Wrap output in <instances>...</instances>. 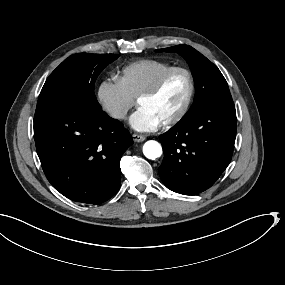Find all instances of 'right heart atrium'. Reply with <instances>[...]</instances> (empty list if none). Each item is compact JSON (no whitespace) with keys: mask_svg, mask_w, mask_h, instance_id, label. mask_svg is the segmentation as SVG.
<instances>
[{"mask_svg":"<svg viewBox=\"0 0 285 285\" xmlns=\"http://www.w3.org/2000/svg\"><path fill=\"white\" fill-rule=\"evenodd\" d=\"M104 110L114 120H124L136 105V98L114 77L104 78L99 87Z\"/></svg>","mask_w":285,"mask_h":285,"instance_id":"d8ad5b80","label":"right heart atrium"}]
</instances>
